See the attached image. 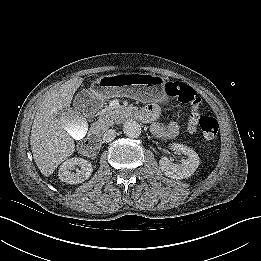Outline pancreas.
I'll use <instances>...</instances> for the list:
<instances>
[{"instance_id": "obj_1", "label": "pancreas", "mask_w": 261, "mask_h": 261, "mask_svg": "<svg viewBox=\"0 0 261 261\" xmlns=\"http://www.w3.org/2000/svg\"><path fill=\"white\" fill-rule=\"evenodd\" d=\"M116 118L117 115L115 113L102 114L93 124V129L98 133L103 132L114 124Z\"/></svg>"}]
</instances>
